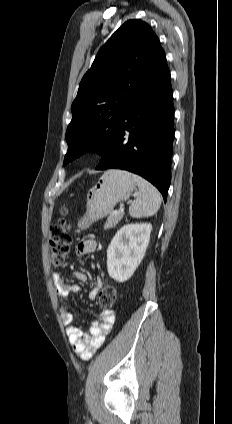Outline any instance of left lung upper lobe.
I'll use <instances>...</instances> for the list:
<instances>
[{"instance_id": "1", "label": "left lung upper lobe", "mask_w": 232, "mask_h": 424, "mask_svg": "<svg viewBox=\"0 0 232 424\" xmlns=\"http://www.w3.org/2000/svg\"><path fill=\"white\" fill-rule=\"evenodd\" d=\"M165 58L157 35L141 20L125 22L83 76L66 131L64 165L90 145L102 155L133 96Z\"/></svg>"}]
</instances>
